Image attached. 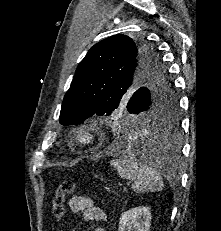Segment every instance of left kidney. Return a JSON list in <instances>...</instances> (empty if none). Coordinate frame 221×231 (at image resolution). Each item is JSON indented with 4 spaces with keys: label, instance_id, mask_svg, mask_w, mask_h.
<instances>
[{
    "label": "left kidney",
    "instance_id": "left-kidney-1",
    "mask_svg": "<svg viewBox=\"0 0 221 231\" xmlns=\"http://www.w3.org/2000/svg\"><path fill=\"white\" fill-rule=\"evenodd\" d=\"M149 207H137L122 213L118 231H149L151 225Z\"/></svg>",
    "mask_w": 221,
    "mask_h": 231
}]
</instances>
